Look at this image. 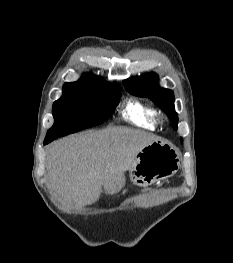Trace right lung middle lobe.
Masks as SVG:
<instances>
[{"instance_id": "obj_1", "label": "right lung middle lobe", "mask_w": 233, "mask_h": 263, "mask_svg": "<svg viewBox=\"0 0 233 263\" xmlns=\"http://www.w3.org/2000/svg\"><path fill=\"white\" fill-rule=\"evenodd\" d=\"M121 90L115 88L97 95L61 97L53 104L54 125L48 130L45 140L53 141L103 123L114 113Z\"/></svg>"}]
</instances>
